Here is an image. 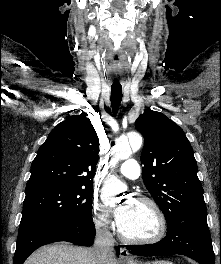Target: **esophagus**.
<instances>
[{
  "label": "esophagus",
  "instance_id": "obj_1",
  "mask_svg": "<svg viewBox=\"0 0 221 264\" xmlns=\"http://www.w3.org/2000/svg\"><path fill=\"white\" fill-rule=\"evenodd\" d=\"M120 260L124 263H130L134 260L133 256L129 253L126 248L120 250Z\"/></svg>",
  "mask_w": 221,
  "mask_h": 264
}]
</instances>
